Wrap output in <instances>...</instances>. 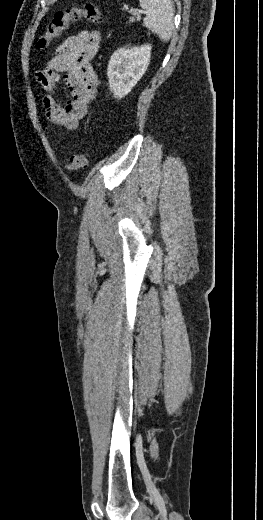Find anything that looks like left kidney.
Returning <instances> with one entry per match:
<instances>
[{"label": "left kidney", "mask_w": 263, "mask_h": 520, "mask_svg": "<svg viewBox=\"0 0 263 520\" xmlns=\"http://www.w3.org/2000/svg\"><path fill=\"white\" fill-rule=\"evenodd\" d=\"M151 46L142 45L130 50L121 48L113 53L107 68L108 82L115 98L125 97L146 72Z\"/></svg>", "instance_id": "left-kidney-1"}]
</instances>
